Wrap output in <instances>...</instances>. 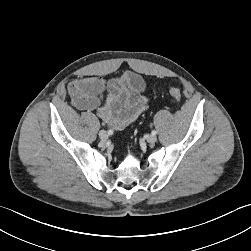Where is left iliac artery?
<instances>
[{
	"instance_id": "44dca946",
	"label": "left iliac artery",
	"mask_w": 251,
	"mask_h": 251,
	"mask_svg": "<svg viewBox=\"0 0 251 251\" xmlns=\"http://www.w3.org/2000/svg\"><path fill=\"white\" fill-rule=\"evenodd\" d=\"M152 134H153V135H156V134H157V132H156L155 130H153V131H152Z\"/></svg>"
}]
</instances>
